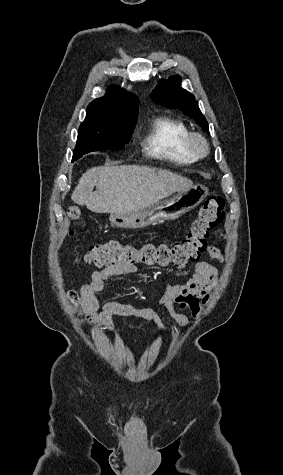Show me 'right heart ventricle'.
Returning <instances> with one entry per match:
<instances>
[{"instance_id": "e07e8e85", "label": "right heart ventricle", "mask_w": 283, "mask_h": 475, "mask_svg": "<svg viewBox=\"0 0 283 475\" xmlns=\"http://www.w3.org/2000/svg\"><path fill=\"white\" fill-rule=\"evenodd\" d=\"M189 132L190 128L183 120L169 115H157L139 129L143 148L150 155L163 157V149L170 147L177 152V158H163L171 162H198L199 158L189 155L181 148Z\"/></svg>"}]
</instances>
